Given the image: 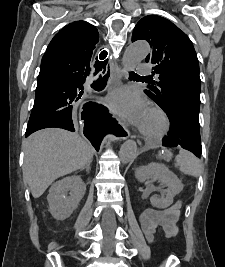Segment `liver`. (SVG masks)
Segmentation results:
<instances>
[{"mask_svg":"<svg viewBox=\"0 0 225 267\" xmlns=\"http://www.w3.org/2000/svg\"><path fill=\"white\" fill-rule=\"evenodd\" d=\"M23 179L39 198L59 177L83 169L93 158L91 145L76 133L49 128L24 142Z\"/></svg>","mask_w":225,"mask_h":267,"instance_id":"6515ba94","label":"liver"}]
</instances>
